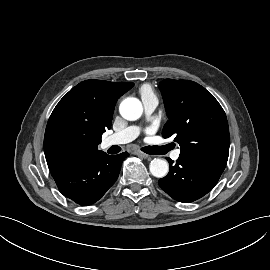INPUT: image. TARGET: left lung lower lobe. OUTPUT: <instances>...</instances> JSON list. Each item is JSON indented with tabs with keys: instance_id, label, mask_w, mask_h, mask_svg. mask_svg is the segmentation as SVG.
<instances>
[{
	"instance_id": "obj_1",
	"label": "left lung lower lobe",
	"mask_w": 270,
	"mask_h": 270,
	"mask_svg": "<svg viewBox=\"0 0 270 270\" xmlns=\"http://www.w3.org/2000/svg\"><path fill=\"white\" fill-rule=\"evenodd\" d=\"M170 170L158 181L173 199L189 203L206 195L218 182L225 165L197 158L179 156L177 163L168 159Z\"/></svg>"
}]
</instances>
